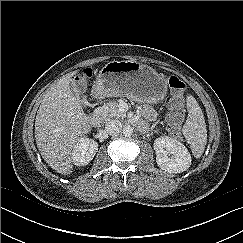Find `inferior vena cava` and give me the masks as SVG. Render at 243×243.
<instances>
[{
	"mask_svg": "<svg viewBox=\"0 0 243 243\" xmlns=\"http://www.w3.org/2000/svg\"><path fill=\"white\" fill-rule=\"evenodd\" d=\"M122 130V124L119 120H110L106 123L105 131L110 135H117Z\"/></svg>",
	"mask_w": 243,
	"mask_h": 243,
	"instance_id": "obj_1",
	"label": "inferior vena cava"
}]
</instances>
